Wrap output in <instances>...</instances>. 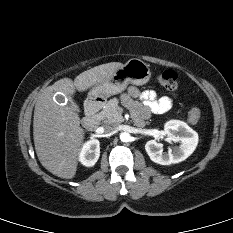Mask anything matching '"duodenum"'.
<instances>
[{"label":"duodenum","instance_id":"duodenum-1","mask_svg":"<svg viewBox=\"0 0 233 233\" xmlns=\"http://www.w3.org/2000/svg\"><path fill=\"white\" fill-rule=\"evenodd\" d=\"M104 104L102 98H92L85 105V114L82 118V125L88 130L94 129L98 124V113Z\"/></svg>","mask_w":233,"mask_h":233}]
</instances>
